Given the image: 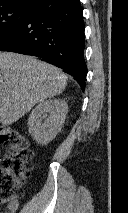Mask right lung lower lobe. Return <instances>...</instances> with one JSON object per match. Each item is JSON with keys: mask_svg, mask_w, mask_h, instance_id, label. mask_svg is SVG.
I'll return each instance as SVG.
<instances>
[{"mask_svg": "<svg viewBox=\"0 0 128 213\" xmlns=\"http://www.w3.org/2000/svg\"><path fill=\"white\" fill-rule=\"evenodd\" d=\"M84 28L80 0H39L22 25L0 41V50L54 62L84 90Z\"/></svg>", "mask_w": 128, "mask_h": 213, "instance_id": "1", "label": "right lung lower lobe"}]
</instances>
